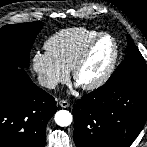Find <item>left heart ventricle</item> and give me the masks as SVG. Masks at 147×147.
Returning <instances> with one entry per match:
<instances>
[{
    "label": "left heart ventricle",
    "mask_w": 147,
    "mask_h": 147,
    "mask_svg": "<svg viewBox=\"0 0 147 147\" xmlns=\"http://www.w3.org/2000/svg\"><path fill=\"white\" fill-rule=\"evenodd\" d=\"M113 54V43L109 38L101 39L93 48L78 75L80 84L96 80L108 67Z\"/></svg>",
    "instance_id": "b2bd125f"
}]
</instances>
